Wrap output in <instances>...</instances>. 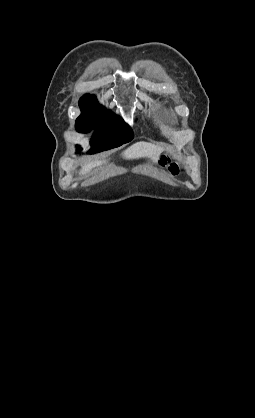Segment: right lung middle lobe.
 Wrapping results in <instances>:
<instances>
[{"label":"right lung middle lobe","mask_w":255,"mask_h":418,"mask_svg":"<svg viewBox=\"0 0 255 418\" xmlns=\"http://www.w3.org/2000/svg\"><path fill=\"white\" fill-rule=\"evenodd\" d=\"M81 115L76 120V130L80 133L88 132L96 126L91 138L92 149L90 153L118 147L133 139V132L129 125L119 116L113 115L101 106L95 96L84 95L80 101ZM107 116L99 122L102 113ZM81 147H78V151Z\"/></svg>","instance_id":"dd1d6c3e"}]
</instances>
